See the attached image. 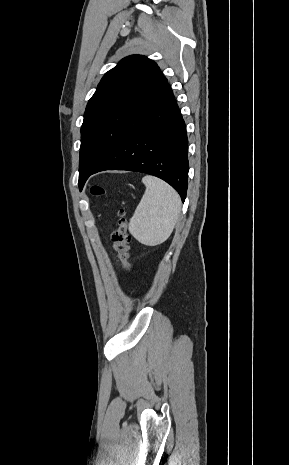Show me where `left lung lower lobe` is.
<instances>
[{"label": "left lung lower lobe", "mask_w": 289, "mask_h": 465, "mask_svg": "<svg viewBox=\"0 0 289 465\" xmlns=\"http://www.w3.org/2000/svg\"><path fill=\"white\" fill-rule=\"evenodd\" d=\"M187 146L185 123L166 82L88 177L110 169L151 174L174 187L184 202L188 186Z\"/></svg>", "instance_id": "1"}]
</instances>
